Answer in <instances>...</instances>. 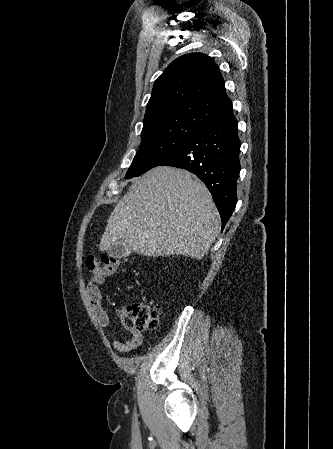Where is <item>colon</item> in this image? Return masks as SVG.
<instances>
[{
    "mask_svg": "<svg viewBox=\"0 0 333 449\" xmlns=\"http://www.w3.org/2000/svg\"><path fill=\"white\" fill-rule=\"evenodd\" d=\"M122 259L108 254L90 253L86 257V266L94 274L109 275L121 264ZM125 315L131 327L138 331L156 329L160 319V308L157 305L132 302L125 309Z\"/></svg>",
    "mask_w": 333,
    "mask_h": 449,
    "instance_id": "colon-1",
    "label": "colon"
}]
</instances>
